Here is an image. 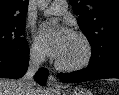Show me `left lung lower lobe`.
Instances as JSON below:
<instances>
[{
	"mask_svg": "<svg viewBox=\"0 0 119 95\" xmlns=\"http://www.w3.org/2000/svg\"><path fill=\"white\" fill-rule=\"evenodd\" d=\"M59 78L63 82L71 83L105 78H119V52L113 54L102 65H95L90 62L85 69L72 73H59Z\"/></svg>",
	"mask_w": 119,
	"mask_h": 95,
	"instance_id": "obj_1",
	"label": "left lung lower lobe"
}]
</instances>
